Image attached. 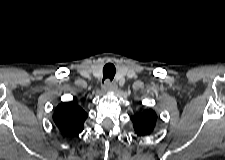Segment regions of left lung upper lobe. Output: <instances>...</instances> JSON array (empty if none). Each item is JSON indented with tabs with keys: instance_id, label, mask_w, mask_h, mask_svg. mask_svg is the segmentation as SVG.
Returning a JSON list of instances; mask_svg holds the SVG:
<instances>
[{
	"instance_id": "5c2ea615",
	"label": "left lung upper lobe",
	"mask_w": 225,
	"mask_h": 160,
	"mask_svg": "<svg viewBox=\"0 0 225 160\" xmlns=\"http://www.w3.org/2000/svg\"><path fill=\"white\" fill-rule=\"evenodd\" d=\"M156 119L157 115L155 111L151 109L131 117L135 134L139 137L150 135L155 128Z\"/></svg>"
}]
</instances>
